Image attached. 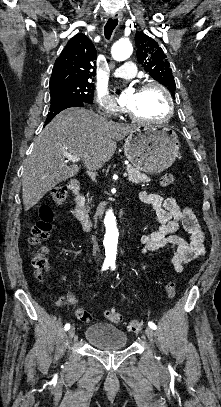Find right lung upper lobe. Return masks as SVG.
I'll list each match as a JSON object with an SVG mask.
<instances>
[{
    "mask_svg": "<svg viewBox=\"0 0 221 407\" xmlns=\"http://www.w3.org/2000/svg\"><path fill=\"white\" fill-rule=\"evenodd\" d=\"M96 60V49L82 33L72 37L56 59L50 79V90L66 85L88 82Z\"/></svg>",
    "mask_w": 221,
    "mask_h": 407,
    "instance_id": "cb5924a9",
    "label": "right lung upper lobe"
}]
</instances>
